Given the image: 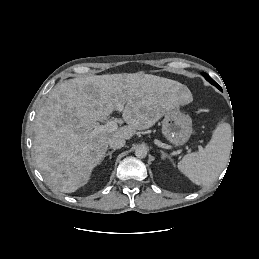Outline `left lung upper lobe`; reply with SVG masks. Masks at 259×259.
<instances>
[{"label":"left lung upper lobe","mask_w":259,"mask_h":259,"mask_svg":"<svg viewBox=\"0 0 259 259\" xmlns=\"http://www.w3.org/2000/svg\"><path fill=\"white\" fill-rule=\"evenodd\" d=\"M202 75L204 76V78L210 82L212 85L216 86L217 88H220V86L206 73H202Z\"/></svg>","instance_id":"left-lung-upper-lobe-1"}]
</instances>
